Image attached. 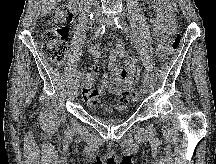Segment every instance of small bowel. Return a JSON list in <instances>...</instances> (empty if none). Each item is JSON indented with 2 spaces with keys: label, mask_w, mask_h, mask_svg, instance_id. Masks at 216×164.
<instances>
[{
  "label": "small bowel",
  "mask_w": 216,
  "mask_h": 164,
  "mask_svg": "<svg viewBox=\"0 0 216 164\" xmlns=\"http://www.w3.org/2000/svg\"><path fill=\"white\" fill-rule=\"evenodd\" d=\"M152 23L156 37V56L160 57L165 47L166 36L175 21L174 0H154ZM89 53L95 62L101 58V53L97 45L89 47ZM125 58V67L120 66V60ZM109 76L102 78L101 84L93 88L92 84L82 81L81 92L83 99L91 111L114 114L125 110L129 103L128 91L136 82L140 68L135 57L129 55L122 41H118L115 48L108 54ZM96 67H93L95 72ZM109 81L111 84H109ZM109 92L120 96L118 103L100 102L99 97Z\"/></svg>",
  "instance_id": "1"
}]
</instances>
